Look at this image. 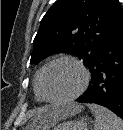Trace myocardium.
I'll return each instance as SVG.
<instances>
[{"label":"myocardium","mask_w":123,"mask_h":130,"mask_svg":"<svg viewBox=\"0 0 123 130\" xmlns=\"http://www.w3.org/2000/svg\"><path fill=\"white\" fill-rule=\"evenodd\" d=\"M60 61H69V62H72L73 64H75L81 70V72L83 74V80H82L81 86L73 95L66 97V98H62V99H55V98H51L47 95L46 90H45L44 81H45V75H46L47 70L53 64L60 62ZM89 82H90V72L80 59H78L72 55H60V56L53 58L52 60H50L48 63H46L43 66L41 73H40V78H39V89H40V94L44 101L54 103V104H65V103L72 102V101L76 100L78 97H80L84 93V91L87 89Z\"/></svg>","instance_id":"obj_1"}]
</instances>
